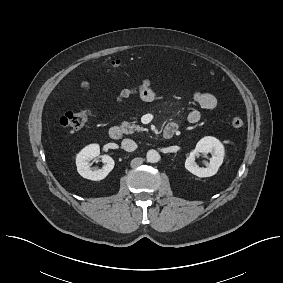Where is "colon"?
<instances>
[{"label":"colon","mask_w":283,"mask_h":283,"mask_svg":"<svg viewBox=\"0 0 283 283\" xmlns=\"http://www.w3.org/2000/svg\"><path fill=\"white\" fill-rule=\"evenodd\" d=\"M111 67L114 69H121L123 63L120 60H115L111 62ZM92 114L89 108L83 109L77 112H67L59 119V125L71 132L77 131L84 127ZM244 125V121L240 117H234L232 119V126L234 128H241Z\"/></svg>","instance_id":"5ec220e1"}]
</instances>
